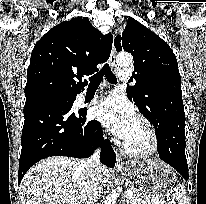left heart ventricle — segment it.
Here are the masks:
<instances>
[{"label":"left heart ventricle","mask_w":206,"mask_h":204,"mask_svg":"<svg viewBox=\"0 0 206 204\" xmlns=\"http://www.w3.org/2000/svg\"><path fill=\"white\" fill-rule=\"evenodd\" d=\"M124 142L134 150H142L149 143L148 133L140 121H136L132 132Z\"/></svg>","instance_id":"left-heart-ventricle-1"}]
</instances>
